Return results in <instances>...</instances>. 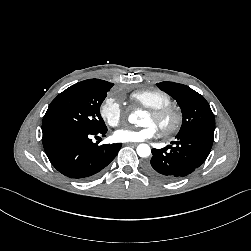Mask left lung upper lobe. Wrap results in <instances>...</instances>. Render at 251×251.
<instances>
[{
  "label": "left lung upper lobe",
  "mask_w": 251,
  "mask_h": 251,
  "mask_svg": "<svg viewBox=\"0 0 251 251\" xmlns=\"http://www.w3.org/2000/svg\"><path fill=\"white\" fill-rule=\"evenodd\" d=\"M157 86L174 97L182 108L183 121L177 135L194 131L214 133V114L203 96L190 87L175 82H161Z\"/></svg>",
  "instance_id": "left-lung-upper-lobe-1"
}]
</instances>
